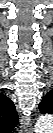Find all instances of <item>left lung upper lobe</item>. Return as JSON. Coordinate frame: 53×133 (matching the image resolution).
Listing matches in <instances>:
<instances>
[{
  "mask_svg": "<svg viewBox=\"0 0 53 133\" xmlns=\"http://www.w3.org/2000/svg\"><path fill=\"white\" fill-rule=\"evenodd\" d=\"M40 112L42 114L50 113L53 114V95L51 92H49L42 102L39 105Z\"/></svg>",
  "mask_w": 53,
  "mask_h": 133,
  "instance_id": "5c2ea615",
  "label": "left lung upper lobe"
}]
</instances>
